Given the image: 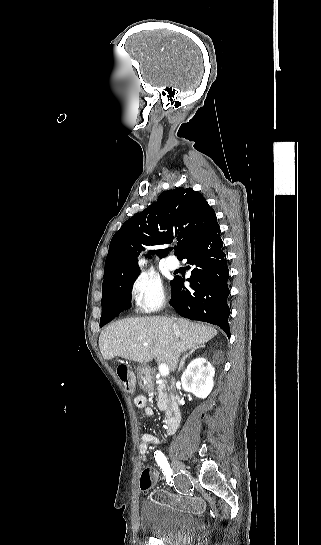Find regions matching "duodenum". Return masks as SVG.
Returning <instances> with one entry per match:
<instances>
[{"label":"duodenum","instance_id":"obj_1","mask_svg":"<svg viewBox=\"0 0 321 545\" xmlns=\"http://www.w3.org/2000/svg\"><path fill=\"white\" fill-rule=\"evenodd\" d=\"M181 422V409L177 402H172L167 408L164 429L167 434H172Z\"/></svg>","mask_w":321,"mask_h":545}]
</instances>
